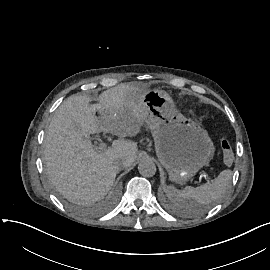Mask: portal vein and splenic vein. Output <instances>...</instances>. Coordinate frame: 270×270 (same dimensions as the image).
Masks as SVG:
<instances>
[{
  "instance_id": "1",
  "label": "portal vein and splenic vein",
  "mask_w": 270,
  "mask_h": 270,
  "mask_svg": "<svg viewBox=\"0 0 270 270\" xmlns=\"http://www.w3.org/2000/svg\"><path fill=\"white\" fill-rule=\"evenodd\" d=\"M106 132L109 130L107 127L103 128ZM106 150V145L104 142H101L100 145L94 148L95 152H104ZM202 176L205 177L206 182L214 181V177L206 175V173H202Z\"/></svg>"
}]
</instances>
